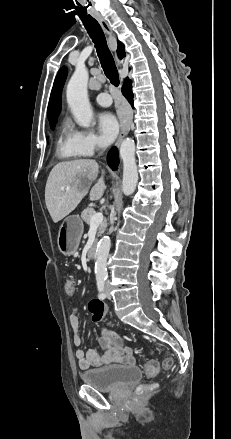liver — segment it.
I'll list each match as a JSON object with an SVG mask.
<instances>
[{"instance_id": "1", "label": "liver", "mask_w": 231, "mask_h": 439, "mask_svg": "<svg viewBox=\"0 0 231 439\" xmlns=\"http://www.w3.org/2000/svg\"><path fill=\"white\" fill-rule=\"evenodd\" d=\"M98 172L99 165L92 159L64 161L53 167L46 182L45 203L54 223L78 206L88 194ZM104 188V177H101L90 190V200H99Z\"/></svg>"}]
</instances>
